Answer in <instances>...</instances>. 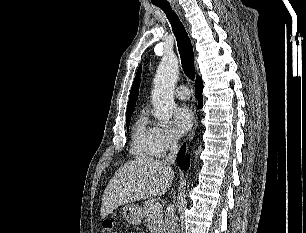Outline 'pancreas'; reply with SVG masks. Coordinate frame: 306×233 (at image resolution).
I'll return each instance as SVG.
<instances>
[{
    "label": "pancreas",
    "mask_w": 306,
    "mask_h": 233,
    "mask_svg": "<svg viewBox=\"0 0 306 233\" xmlns=\"http://www.w3.org/2000/svg\"><path fill=\"white\" fill-rule=\"evenodd\" d=\"M153 204V199H148L143 203V216L145 217V225L151 233H165L163 211L161 209L160 212L151 213L150 207Z\"/></svg>",
    "instance_id": "pancreas-1"
}]
</instances>
